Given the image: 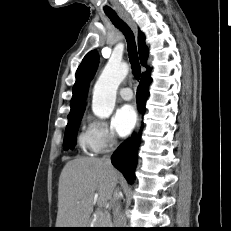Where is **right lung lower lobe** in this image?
<instances>
[{"mask_svg":"<svg viewBox=\"0 0 231 231\" xmlns=\"http://www.w3.org/2000/svg\"><path fill=\"white\" fill-rule=\"evenodd\" d=\"M151 81L152 79L150 76L141 79L137 89V105L142 113L145 111V102L149 95L148 87ZM141 130L138 135L133 134L131 138L122 143L112 156V164L124 175L128 183H132L134 179L137 150L141 140Z\"/></svg>","mask_w":231,"mask_h":231,"instance_id":"obj_1","label":"right lung lower lobe"}]
</instances>
